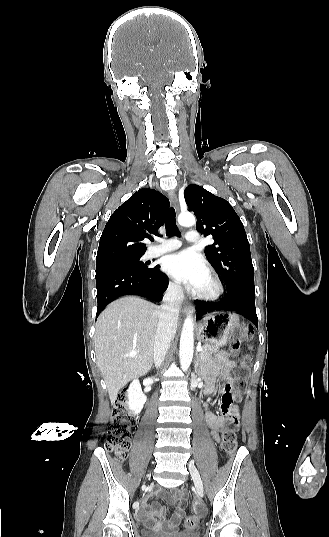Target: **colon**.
Returning a JSON list of instances; mask_svg holds the SVG:
<instances>
[{
    "label": "colon",
    "mask_w": 329,
    "mask_h": 537,
    "mask_svg": "<svg viewBox=\"0 0 329 537\" xmlns=\"http://www.w3.org/2000/svg\"><path fill=\"white\" fill-rule=\"evenodd\" d=\"M251 334L252 332L248 331L241 334L240 337L244 340H247L250 338ZM230 349L232 355H237L239 350V340L235 341L231 345ZM250 360L251 359L248 354H243L239 358L237 378L234 383V390L237 393H241L246 388ZM236 398L237 397L231 395L229 390L223 394L222 401L225 406H231ZM129 401L130 396L128 393L125 391L121 392L114 404L113 415L107 431L106 447L109 451L114 452L119 459L124 457L130 447L132 428L135 423V419L128 410ZM237 428L238 421L230 419L221 430V448L228 455H232L236 451ZM198 523L199 517L196 514L189 515L185 520V526L187 528H194L198 525Z\"/></svg>",
    "instance_id": "5ec220e1"
}]
</instances>
